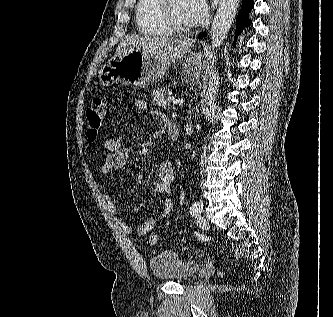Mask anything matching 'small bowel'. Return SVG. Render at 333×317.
<instances>
[{
	"mask_svg": "<svg viewBox=\"0 0 333 317\" xmlns=\"http://www.w3.org/2000/svg\"><path fill=\"white\" fill-rule=\"evenodd\" d=\"M133 107L138 112L148 111V105L143 99H136L133 102ZM154 114L160 116L166 123L169 119L154 112ZM104 149L107 151V155L101 167V173L103 176H109L114 171L123 168L129 159V148L123 144L118 138H107L102 142ZM159 181L155 185L153 192L161 195H169L172 191V185L174 182V169L173 165L169 161H165L160 164L158 168ZM108 207L115 216L119 227L126 234H132L136 232L138 235H146L151 231L160 221L165 219L174 207L173 200L166 197L164 200L163 208L161 212L154 218L148 219L140 224L136 229L129 223L123 221L117 214L114 201L108 192L104 194Z\"/></svg>",
	"mask_w": 333,
	"mask_h": 317,
	"instance_id": "small-bowel-1",
	"label": "small bowel"
}]
</instances>
